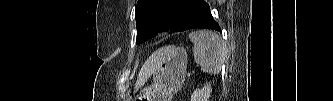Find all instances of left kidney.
I'll return each instance as SVG.
<instances>
[{
	"instance_id": "obj_1",
	"label": "left kidney",
	"mask_w": 333,
	"mask_h": 101,
	"mask_svg": "<svg viewBox=\"0 0 333 101\" xmlns=\"http://www.w3.org/2000/svg\"><path fill=\"white\" fill-rule=\"evenodd\" d=\"M211 93V83H206L203 88L194 90L191 101H208Z\"/></svg>"
}]
</instances>
